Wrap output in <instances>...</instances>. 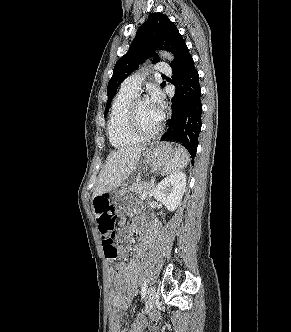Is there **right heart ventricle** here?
<instances>
[{"instance_id":"e07e8e85","label":"right heart ventricle","mask_w":291,"mask_h":332,"mask_svg":"<svg viewBox=\"0 0 291 332\" xmlns=\"http://www.w3.org/2000/svg\"><path fill=\"white\" fill-rule=\"evenodd\" d=\"M137 94L121 89L115 97L108 121V136L116 148H124L141 142L128 129L127 115L131 102Z\"/></svg>"}]
</instances>
